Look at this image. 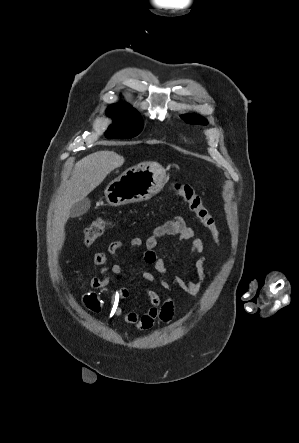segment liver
Listing matches in <instances>:
<instances>
[{
    "label": "liver",
    "mask_w": 299,
    "mask_h": 443,
    "mask_svg": "<svg viewBox=\"0 0 299 443\" xmlns=\"http://www.w3.org/2000/svg\"><path fill=\"white\" fill-rule=\"evenodd\" d=\"M124 158L114 151L94 152L75 164L65 192L57 203L52 224L51 249L56 255L65 241V224L72 205L84 199L106 176L124 164Z\"/></svg>",
    "instance_id": "liver-1"
}]
</instances>
